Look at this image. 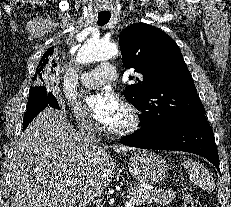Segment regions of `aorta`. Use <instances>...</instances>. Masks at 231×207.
Segmentation results:
<instances>
[{
  "label": "aorta",
  "mask_w": 231,
  "mask_h": 207,
  "mask_svg": "<svg viewBox=\"0 0 231 207\" xmlns=\"http://www.w3.org/2000/svg\"><path fill=\"white\" fill-rule=\"evenodd\" d=\"M119 53L117 46L102 39H89L80 48L76 61L79 64H88L96 61L109 60Z\"/></svg>",
  "instance_id": "1"
}]
</instances>
